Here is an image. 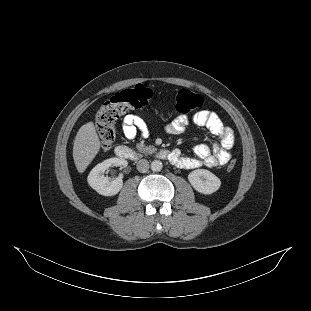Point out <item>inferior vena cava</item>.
I'll return each mask as SVG.
<instances>
[{
  "label": "inferior vena cava",
  "mask_w": 311,
  "mask_h": 311,
  "mask_svg": "<svg viewBox=\"0 0 311 311\" xmlns=\"http://www.w3.org/2000/svg\"><path fill=\"white\" fill-rule=\"evenodd\" d=\"M149 169V162L146 159H141L137 163V170L141 173L147 172Z\"/></svg>",
  "instance_id": "inferior-vena-cava-1"
}]
</instances>
